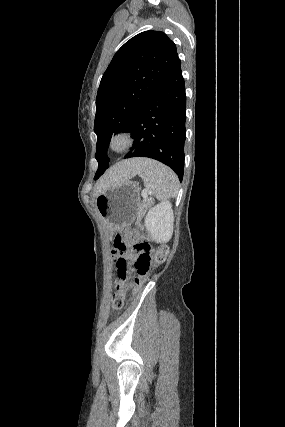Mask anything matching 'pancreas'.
Wrapping results in <instances>:
<instances>
[{
  "label": "pancreas",
  "instance_id": "obj_1",
  "mask_svg": "<svg viewBox=\"0 0 285 427\" xmlns=\"http://www.w3.org/2000/svg\"><path fill=\"white\" fill-rule=\"evenodd\" d=\"M153 200L152 199H147L145 198L141 204V206L139 207V211H138V218H142L145 214V212L147 211V209L152 205Z\"/></svg>",
  "mask_w": 285,
  "mask_h": 427
}]
</instances>
